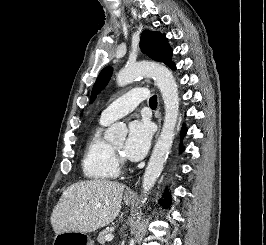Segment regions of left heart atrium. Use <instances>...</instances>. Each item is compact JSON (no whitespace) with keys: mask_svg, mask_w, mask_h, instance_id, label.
<instances>
[{"mask_svg":"<svg viewBox=\"0 0 266 245\" xmlns=\"http://www.w3.org/2000/svg\"><path fill=\"white\" fill-rule=\"evenodd\" d=\"M151 126L146 120H135L129 123L128 133L122 152L130 161H138L146 154L151 141Z\"/></svg>","mask_w":266,"mask_h":245,"instance_id":"left-heart-atrium-1","label":"left heart atrium"}]
</instances>
